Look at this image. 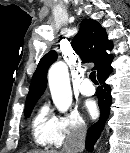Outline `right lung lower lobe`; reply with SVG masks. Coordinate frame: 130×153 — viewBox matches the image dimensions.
I'll return each instance as SVG.
<instances>
[{
	"label": "right lung lower lobe",
	"instance_id": "obj_1",
	"mask_svg": "<svg viewBox=\"0 0 130 153\" xmlns=\"http://www.w3.org/2000/svg\"><path fill=\"white\" fill-rule=\"evenodd\" d=\"M112 72V67L108 66L102 73L97 77L101 86L97 90L98 105L100 107L101 116L100 119L93 124L87 131V138L85 143V148L88 151L93 150V145L99 138L105 122L109 116L110 105H111V88L105 83L106 79Z\"/></svg>",
	"mask_w": 130,
	"mask_h": 153
}]
</instances>
